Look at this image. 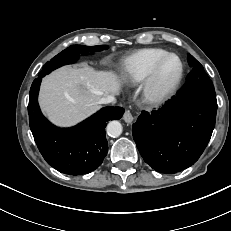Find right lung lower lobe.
<instances>
[{"instance_id":"obj_1","label":"right lung lower lobe","mask_w":231,"mask_h":231,"mask_svg":"<svg viewBox=\"0 0 231 231\" xmlns=\"http://www.w3.org/2000/svg\"><path fill=\"white\" fill-rule=\"evenodd\" d=\"M41 80L39 76L32 83L28 104L30 128L40 153L61 173L82 175L94 171L108 152L105 126L112 119H120L124 109L108 106L77 126L58 128L40 111L37 98Z\"/></svg>"}]
</instances>
